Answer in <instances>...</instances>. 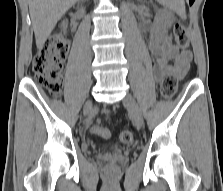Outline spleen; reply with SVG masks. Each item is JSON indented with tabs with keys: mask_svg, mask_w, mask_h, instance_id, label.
Returning a JSON list of instances; mask_svg holds the SVG:
<instances>
[{
	"mask_svg": "<svg viewBox=\"0 0 223 191\" xmlns=\"http://www.w3.org/2000/svg\"><path fill=\"white\" fill-rule=\"evenodd\" d=\"M172 9L175 10L180 16L185 15V4L184 0H172Z\"/></svg>",
	"mask_w": 223,
	"mask_h": 191,
	"instance_id": "spleen-1",
	"label": "spleen"
}]
</instances>
